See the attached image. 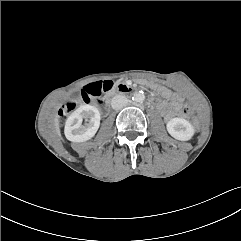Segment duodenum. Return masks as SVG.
I'll return each mask as SVG.
<instances>
[{"label": "duodenum", "instance_id": "1", "mask_svg": "<svg viewBox=\"0 0 241 241\" xmlns=\"http://www.w3.org/2000/svg\"><path fill=\"white\" fill-rule=\"evenodd\" d=\"M111 94L113 93H127L130 91V87L125 84V83H120V84H117L115 86H112L109 88V90Z\"/></svg>", "mask_w": 241, "mask_h": 241}]
</instances>
